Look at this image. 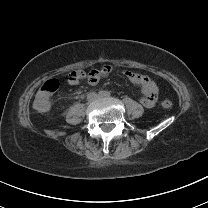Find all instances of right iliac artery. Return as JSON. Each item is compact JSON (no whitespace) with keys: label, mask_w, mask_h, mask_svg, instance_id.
I'll list each match as a JSON object with an SVG mask.
<instances>
[{"label":"right iliac artery","mask_w":208,"mask_h":208,"mask_svg":"<svg viewBox=\"0 0 208 208\" xmlns=\"http://www.w3.org/2000/svg\"><path fill=\"white\" fill-rule=\"evenodd\" d=\"M105 93H106L105 91H100L99 92V96H102L103 97V96H105Z\"/></svg>","instance_id":"right-iliac-artery-1"}]
</instances>
